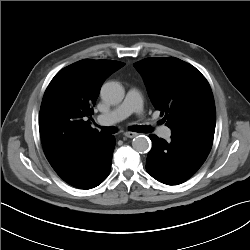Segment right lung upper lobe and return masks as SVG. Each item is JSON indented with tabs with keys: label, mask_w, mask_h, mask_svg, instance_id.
<instances>
[{
	"label": "right lung upper lobe",
	"mask_w": 250,
	"mask_h": 250,
	"mask_svg": "<svg viewBox=\"0 0 250 250\" xmlns=\"http://www.w3.org/2000/svg\"><path fill=\"white\" fill-rule=\"evenodd\" d=\"M125 64L84 59L59 71L48 85L40 108L44 153L52 161L100 135L88 123L105 79Z\"/></svg>",
	"instance_id": "obj_1"
}]
</instances>
